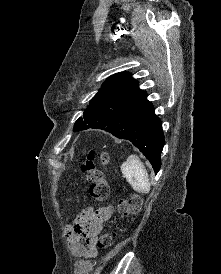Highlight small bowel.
<instances>
[{"mask_svg": "<svg viewBox=\"0 0 221 274\" xmlns=\"http://www.w3.org/2000/svg\"><path fill=\"white\" fill-rule=\"evenodd\" d=\"M112 212L110 205L98 209L87 208L67 226L66 233L74 255L83 258L97 255L98 234Z\"/></svg>", "mask_w": 221, "mask_h": 274, "instance_id": "small-bowel-1", "label": "small bowel"}]
</instances>
